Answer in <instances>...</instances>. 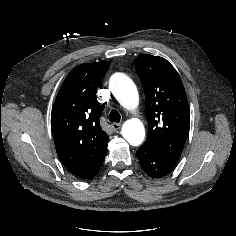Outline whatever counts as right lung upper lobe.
<instances>
[{"label":"right lung upper lobe","instance_id":"right-lung-upper-lobe-1","mask_svg":"<svg viewBox=\"0 0 236 236\" xmlns=\"http://www.w3.org/2000/svg\"><path fill=\"white\" fill-rule=\"evenodd\" d=\"M109 62L86 63L71 71L53 105L51 129L57 154L75 176L87 179L107 153L108 135L100 127L97 86Z\"/></svg>","mask_w":236,"mask_h":236}]
</instances>
